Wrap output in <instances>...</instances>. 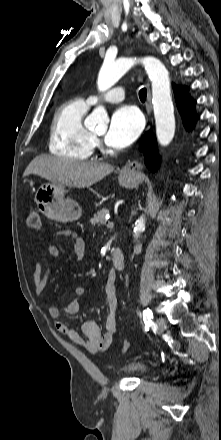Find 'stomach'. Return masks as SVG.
<instances>
[{
    "mask_svg": "<svg viewBox=\"0 0 221 440\" xmlns=\"http://www.w3.org/2000/svg\"><path fill=\"white\" fill-rule=\"evenodd\" d=\"M118 181L126 188H136L139 177L132 171H120ZM63 185L53 182L42 184L35 193V202L38 209L46 217L60 222L74 221L81 217L80 205L70 198H65Z\"/></svg>",
    "mask_w": 221,
    "mask_h": 440,
    "instance_id": "1",
    "label": "stomach"
}]
</instances>
